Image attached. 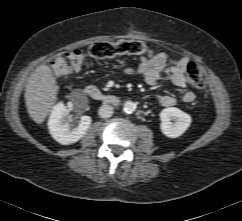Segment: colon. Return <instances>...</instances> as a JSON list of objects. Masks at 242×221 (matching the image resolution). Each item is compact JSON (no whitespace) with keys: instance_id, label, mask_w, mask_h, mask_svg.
<instances>
[{"instance_id":"obj_1","label":"colon","mask_w":242,"mask_h":221,"mask_svg":"<svg viewBox=\"0 0 242 221\" xmlns=\"http://www.w3.org/2000/svg\"><path fill=\"white\" fill-rule=\"evenodd\" d=\"M149 50L148 45L139 39L113 42H97L87 51L73 50L57 57L51 63V70L55 76L64 77L78 72L87 58L111 59L126 54H143ZM188 83L197 90L205 88V81L198 65L190 62L186 68Z\"/></svg>"}]
</instances>
